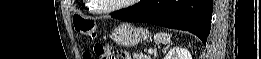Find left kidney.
Wrapping results in <instances>:
<instances>
[{"label":"left kidney","instance_id":"1","mask_svg":"<svg viewBox=\"0 0 261 59\" xmlns=\"http://www.w3.org/2000/svg\"><path fill=\"white\" fill-rule=\"evenodd\" d=\"M164 59H192V56L187 49L176 46L166 54Z\"/></svg>","mask_w":261,"mask_h":59}]
</instances>
